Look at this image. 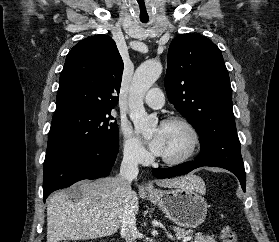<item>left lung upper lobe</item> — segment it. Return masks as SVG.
<instances>
[{"label":"left lung upper lobe","instance_id":"5c2ea615","mask_svg":"<svg viewBox=\"0 0 279 242\" xmlns=\"http://www.w3.org/2000/svg\"><path fill=\"white\" fill-rule=\"evenodd\" d=\"M167 61L168 99L201 138L196 159L244 169L232 89L220 49L204 36L180 34L170 44Z\"/></svg>","mask_w":279,"mask_h":242}]
</instances>
